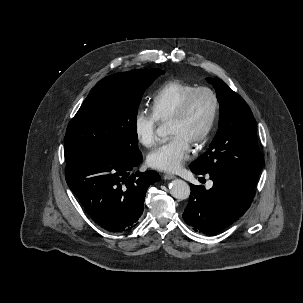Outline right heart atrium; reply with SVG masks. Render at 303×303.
<instances>
[{"mask_svg":"<svg viewBox=\"0 0 303 303\" xmlns=\"http://www.w3.org/2000/svg\"><path fill=\"white\" fill-rule=\"evenodd\" d=\"M158 121L152 113L139 111L135 114L133 128L138 141L146 147H151L156 142Z\"/></svg>","mask_w":303,"mask_h":303,"instance_id":"right-heart-atrium-1","label":"right heart atrium"}]
</instances>
